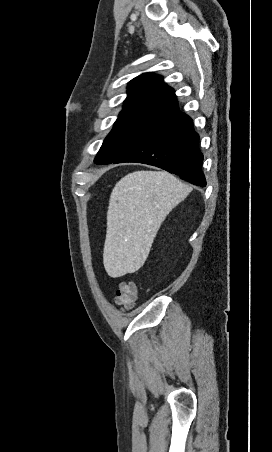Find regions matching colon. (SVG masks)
<instances>
[{"mask_svg": "<svg viewBox=\"0 0 272 452\" xmlns=\"http://www.w3.org/2000/svg\"><path fill=\"white\" fill-rule=\"evenodd\" d=\"M137 297V288L133 282H122L118 285L114 302L124 310L133 308Z\"/></svg>", "mask_w": 272, "mask_h": 452, "instance_id": "colon-1", "label": "colon"}]
</instances>
